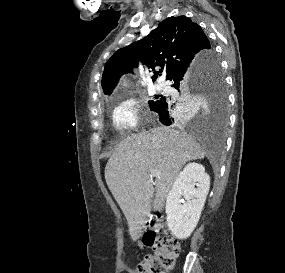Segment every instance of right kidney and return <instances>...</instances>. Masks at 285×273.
I'll return each mask as SVG.
<instances>
[{
    "label": "right kidney",
    "mask_w": 285,
    "mask_h": 273,
    "mask_svg": "<svg viewBox=\"0 0 285 273\" xmlns=\"http://www.w3.org/2000/svg\"><path fill=\"white\" fill-rule=\"evenodd\" d=\"M209 188L210 177L198 163L187 164L176 178L166 200L167 225L176 238L186 239L193 232Z\"/></svg>",
    "instance_id": "1"
}]
</instances>
